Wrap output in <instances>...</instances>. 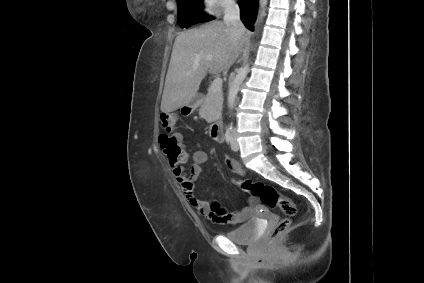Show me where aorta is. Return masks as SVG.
I'll return each mask as SVG.
<instances>
[{
	"label": "aorta",
	"instance_id": "1",
	"mask_svg": "<svg viewBox=\"0 0 424 283\" xmlns=\"http://www.w3.org/2000/svg\"><path fill=\"white\" fill-rule=\"evenodd\" d=\"M267 4H268V0H259V12H258L257 20H259L260 22L263 20V18L266 15ZM248 72H249V64L246 63L238 70L236 76L231 82V85L228 91V97H227V105L230 110H233L234 108L235 99L237 97L238 91L240 89L241 84L245 80Z\"/></svg>",
	"mask_w": 424,
	"mask_h": 283
}]
</instances>
